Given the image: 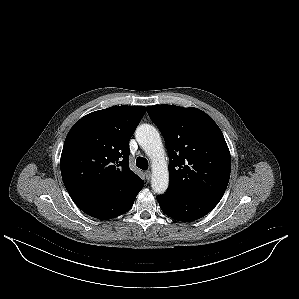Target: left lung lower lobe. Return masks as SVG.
Here are the masks:
<instances>
[{
    "mask_svg": "<svg viewBox=\"0 0 299 299\" xmlns=\"http://www.w3.org/2000/svg\"><path fill=\"white\" fill-rule=\"evenodd\" d=\"M157 200L167 216L179 221H193L207 215L219 203L221 197L167 192L157 196Z\"/></svg>",
    "mask_w": 299,
    "mask_h": 299,
    "instance_id": "1",
    "label": "left lung lower lobe"
}]
</instances>
